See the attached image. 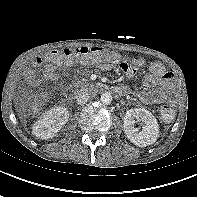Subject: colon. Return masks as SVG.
Here are the masks:
<instances>
[{
  "label": "colon",
  "mask_w": 197,
  "mask_h": 197,
  "mask_svg": "<svg viewBox=\"0 0 197 197\" xmlns=\"http://www.w3.org/2000/svg\"><path fill=\"white\" fill-rule=\"evenodd\" d=\"M48 60L53 63L66 62L71 63L74 60L86 63H103V62H117L118 56L115 53L101 47H76L64 48L63 50H53L48 55ZM127 62H122L121 67H126ZM135 67V65H134ZM161 118L164 121H171L175 116V111L171 106H163L160 111Z\"/></svg>",
  "instance_id": "5ec220e1"
}]
</instances>
